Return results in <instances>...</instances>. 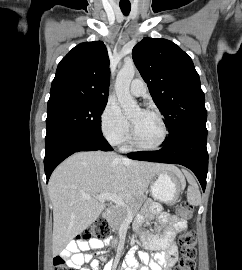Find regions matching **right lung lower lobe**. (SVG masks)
<instances>
[{
    "mask_svg": "<svg viewBox=\"0 0 242 270\" xmlns=\"http://www.w3.org/2000/svg\"><path fill=\"white\" fill-rule=\"evenodd\" d=\"M44 167L47 182L51 173L64 159L79 151H112L107 140L80 132H62L45 140Z\"/></svg>",
    "mask_w": 242,
    "mask_h": 270,
    "instance_id": "obj_1",
    "label": "right lung lower lobe"
}]
</instances>
